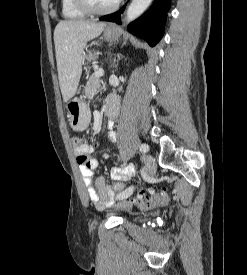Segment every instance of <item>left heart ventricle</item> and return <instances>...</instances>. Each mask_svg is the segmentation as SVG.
Masks as SVG:
<instances>
[{"label": "left heart ventricle", "mask_w": 247, "mask_h": 275, "mask_svg": "<svg viewBox=\"0 0 247 275\" xmlns=\"http://www.w3.org/2000/svg\"><path fill=\"white\" fill-rule=\"evenodd\" d=\"M91 6L97 9L111 7L117 0H87Z\"/></svg>", "instance_id": "left-heart-ventricle-1"}]
</instances>
